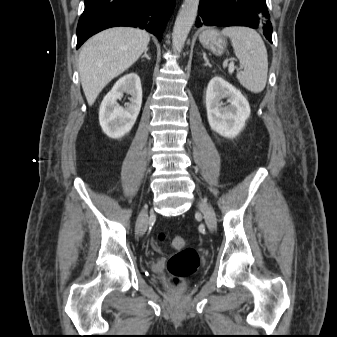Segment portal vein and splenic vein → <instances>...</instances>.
Here are the masks:
<instances>
[{"instance_id":"18ae733b","label":"portal vein and splenic vein","mask_w":337,"mask_h":337,"mask_svg":"<svg viewBox=\"0 0 337 337\" xmlns=\"http://www.w3.org/2000/svg\"><path fill=\"white\" fill-rule=\"evenodd\" d=\"M235 70L234 62L231 61L229 64V73H233Z\"/></svg>"}]
</instances>
